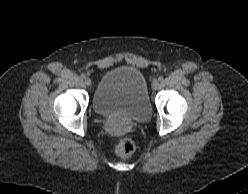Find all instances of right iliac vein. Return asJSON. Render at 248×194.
Listing matches in <instances>:
<instances>
[{
    "label": "right iliac vein",
    "instance_id": "63e3f726",
    "mask_svg": "<svg viewBox=\"0 0 248 194\" xmlns=\"http://www.w3.org/2000/svg\"><path fill=\"white\" fill-rule=\"evenodd\" d=\"M84 82L87 86L91 85V79L90 78H85Z\"/></svg>",
    "mask_w": 248,
    "mask_h": 194
}]
</instances>
